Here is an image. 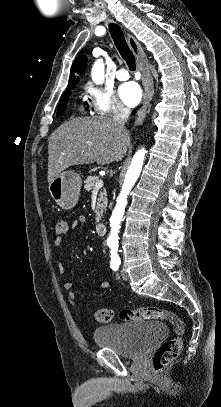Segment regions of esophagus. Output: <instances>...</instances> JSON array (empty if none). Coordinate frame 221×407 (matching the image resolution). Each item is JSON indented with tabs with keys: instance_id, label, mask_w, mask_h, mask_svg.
I'll return each instance as SVG.
<instances>
[{
	"instance_id": "34e87169",
	"label": "esophagus",
	"mask_w": 221,
	"mask_h": 407,
	"mask_svg": "<svg viewBox=\"0 0 221 407\" xmlns=\"http://www.w3.org/2000/svg\"><path fill=\"white\" fill-rule=\"evenodd\" d=\"M127 40H128V44H129L133 54L135 55V57L137 59V66L139 68V71L142 73V76L146 80V82L144 83L145 89H144V93H143L142 106L139 109L136 120H135V126H137V125H141L144 121V118H145V115L147 112V108L152 99L153 88H152V82L150 80L149 69H148L147 65L142 61V56H141L142 49H141L139 42L131 34H127Z\"/></svg>"
}]
</instances>
